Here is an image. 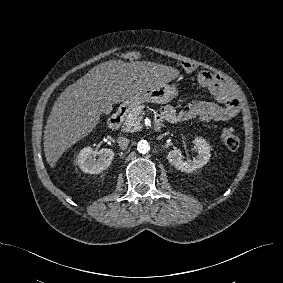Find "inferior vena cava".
I'll list each match as a JSON object with an SVG mask.
<instances>
[{
	"mask_svg": "<svg viewBox=\"0 0 283 283\" xmlns=\"http://www.w3.org/2000/svg\"><path fill=\"white\" fill-rule=\"evenodd\" d=\"M117 143H118L120 149L125 150V149H127L128 145L130 143V140L127 139L126 137L120 136V137L117 138Z\"/></svg>",
	"mask_w": 283,
	"mask_h": 283,
	"instance_id": "obj_1",
	"label": "inferior vena cava"
}]
</instances>
